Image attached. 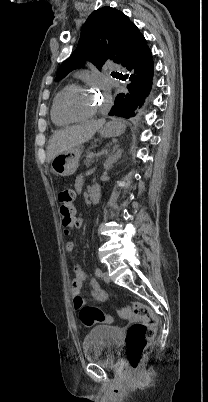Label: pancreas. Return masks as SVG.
I'll use <instances>...</instances> for the list:
<instances>
[{"label":"pancreas","instance_id":"obj_1","mask_svg":"<svg viewBox=\"0 0 208 402\" xmlns=\"http://www.w3.org/2000/svg\"><path fill=\"white\" fill-rule=\"evenodd\" d=\"M95 156H101V152H99V154H92V152H90V154H87L86 160H84L85 166H87V168H88V166H90V164H91L93 158H95Z\"/></svg>","mask_w":208,"mask_h":402}]
</instances>
